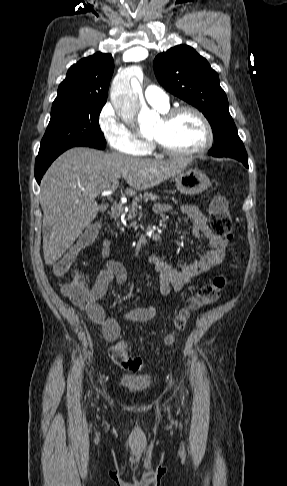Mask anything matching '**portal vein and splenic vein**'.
Segmentation results:
<instances>
[{
    "label": "portal vein and splenic vein",
    "instance_id": "portal-vein-and-splenic-vein-1",
    "mask_svg": "<svg viewBox=\"0 0 287 486\" xmlns=\"http://www.w3.org/2000/svg\"><path fill=\"white\" fill-rule=\"evenodd\" d=\"M118 185H119L118 182L114 183L110 189H108L106 191H103L102 192V195H110V194H112L117 189Z\"/></svg>",
    "mask_w": 287,
    "mask_h": 486
}]
</instances>
